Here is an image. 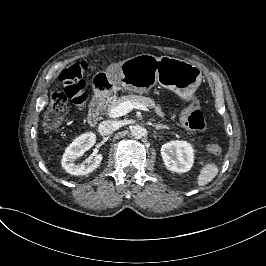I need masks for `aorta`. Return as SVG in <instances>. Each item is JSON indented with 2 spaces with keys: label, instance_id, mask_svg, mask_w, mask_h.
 <instances>
[{
  "label": "aorta",
  "instance_id": "obj_1",
  "mask_svg": "<svg viewBox=\"0 0 266 266\" xmlns=\"http://www.w3.org/2000/svg\"><path fill=\"white\" fill-rule=\"evenodd\" d=\"M131 134L136 139H142L146 136L147 131L143 126L135 125L131 128Z\"/></svg>",
  "mask_w": 266,
  "mask_h": 266
}]
</instances>
